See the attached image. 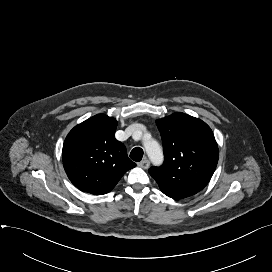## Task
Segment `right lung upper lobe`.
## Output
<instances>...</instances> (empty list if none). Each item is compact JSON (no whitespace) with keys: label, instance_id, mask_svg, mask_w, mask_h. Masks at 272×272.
Here are the masks:
<instances>
[{"label":"right lung upper lobe","instance_id":"obj_1","mask_svg":"<svg viewBox=\"0 0 272 272\" xmlns=\"http://www.w3.org/2000/svg\"><path fill=\"white\" fill-rule=\"evenodd\" d=\"M117 121L95 115L75 126L67 135L62 160L70 181L81 191L94 195L110 192L136 164L126 147L115 139Z\"/></svg>","mask_w":272,"mask_h":272}]
</instances>
